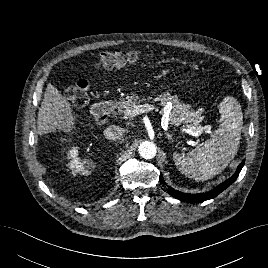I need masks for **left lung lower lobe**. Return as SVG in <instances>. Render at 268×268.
Listing matches in <instances>:
<instances>
[{"instance_id":"left-lung-lower-lobe-1","label":"left lung lower lobe","mask_w":268,"mask_h":268,"mask_svg":"<svg viewBox=\"0 0 268 268\" xmlns=\"http://www.w3.org/2000/svg\"><path fill=\"white\" fill-rule=\"evenodd\" d=\"M243 165H244V161L238 166L237 171L235 172V174L232 177H230L228 180L221 183L219 186H217L216 188H214L213 190H211L209 192L200 193V194H188V193L179 192V191L174 190L171 187H169L168 193L171 196H173L179 200L185 201V202H189V203L204 202L208 199H212V198L216 197L222 191H224L227 187H229L238 177ZM159 180L162 184H165L162 175H160Z\"/></svg>"}]
</instances>
